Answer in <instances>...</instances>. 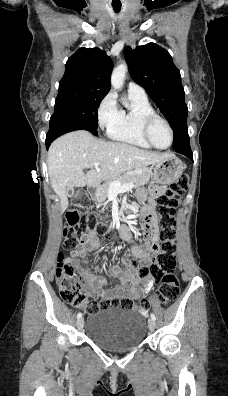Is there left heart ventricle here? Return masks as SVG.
I'll use <instances>...</instances> for the list:
<instances>
[{
  "label": "left heart ventricle",
  "mask_w": 228,
  "mask_h": 396,
  "mask_svg": "<svg viewBox=\"0 0 228 396\" xmlns=\"http://www.w3.org/2000/svg\"><path fill=\"white\" fill-rule=\"evenodd\" d=\"M150 136L154 144L158 147L164 148L170 143V133L166 125L159 120L152 124Z\"/></svg>",
  "instance_id": "obj_1"
}]
</instances>
